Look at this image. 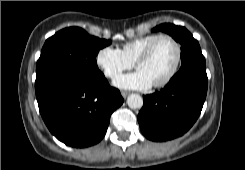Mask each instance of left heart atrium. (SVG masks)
Returning <instances> with one entry per match:
<instances>
[{
  "instance_id": "left-heart-atrium-1",
  "label": "left heart atrium",
  "mask_w": 245,
  "mask_h": 170,
  "mask_svg": "<svg viewBox=\"0 0 245 170\" xmlns=\"http://www.w3.org/2000/svg\"><path fill=\"white\" fill-rule=\"evenodd\" d=\"M114 84L126 89H146L152 85L149 78L140 70L131 74L118 76L114 80Z\"/></svg>"
}]
</instances>
